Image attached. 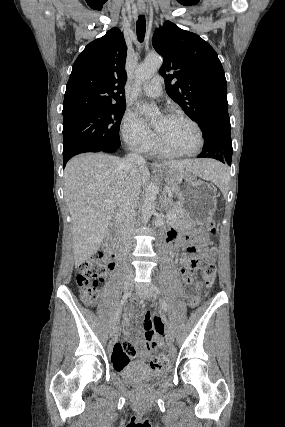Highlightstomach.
Listing matches in <instances>:
<instances>
[{
    "mask_svg": "<svg viewBox=\"0 0 285 427\" xmlns=\"http://www.w3.org/2000/svg\"><path fill=\"white\" fill-rule=\"evenodd\" d=\"M162 172L171 191L180 200L185 218L195 224H203L214 215L217 197L214 188L197 180L189 171H177L162 166Z\"/></svg>",
    "mask_w": 285,
    "mask_h": 427,
    "instance_id": "1",
    "label": "stomach"
}]
</instances>
